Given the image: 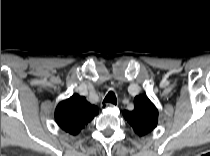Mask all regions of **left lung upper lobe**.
<instances>
[{
	"label": "left lung upper lobe",
	"instance_id": "5c2ea615",
	"mask_svg": "<svg viewBox=\"0 0 210 156\" xmlns=\"http://www.w3.org/2000/svg\"><path fill=\"white\" fill-rule=\"evenodd\" d=\"M124 118L139 136L150 133L156 126L158 110L145 95L136 96L134 99V110L123 111Z\"/></svg>",
	"mask_w": 210,
	"mask_h": 156
}]
</instances>
